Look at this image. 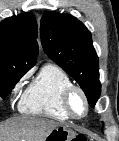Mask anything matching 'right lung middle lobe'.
<instances>
[{
  "mask_svg": "<svg viewBox=\"0 0 119 141\" xmlns=\"http://www.w3.org/2000/svg\"><path fill=\"white\" fill-rule=\"evenodd\" d=\"M26 72H0V97L5 98Z\"/></svg>",
  "mask_w": 119,
  "mask_h": 141,
  "instance_id": "right-lung-middle-lobe-1",
  "label": "right lung middle lobe"
}]
</instances>
